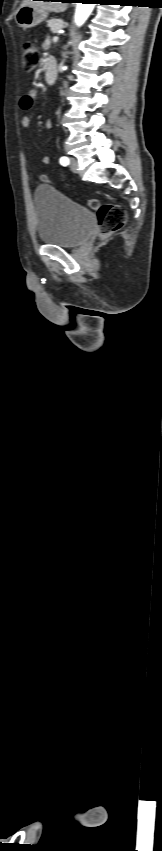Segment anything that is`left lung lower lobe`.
<instances>
[{
    "label": "left lung lower lobe",
    "mask_w": 162,
    "mask_h": 851,
    "mask_svg": "<svg viewBox=\"0 0 162 851\" xmlns=\"http://www.w3.org/2000/svg\"><path fill=\"white\" fill-rule=\"evenodd\" d=\"M63 1L69 2L70 0H63ZM85 1L89 2V3H98L99 0H85Z\"/></svg>",
    "instance_id": "obj_1"
}]
</instances>
